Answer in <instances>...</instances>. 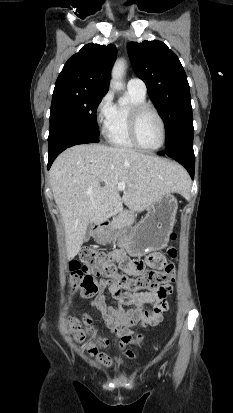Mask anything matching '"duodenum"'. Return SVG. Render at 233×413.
<instances>
[{"mask_svg":"<svg viewBox=\"0 0 233 413\" xmlns=\"http://www.w3.org/2000/svg\"><path fill=\"white\" fill-rule=\"evenodd\" d=\"M106 225H108V222H107V221H104V222L98 224V225L96 226V228L99 229V228H102V227H104V226H106Z\"/></svg>","mask_w":233,"mask_h":413,"instance_id":"1","label":"duodenum"}]
</instances>
